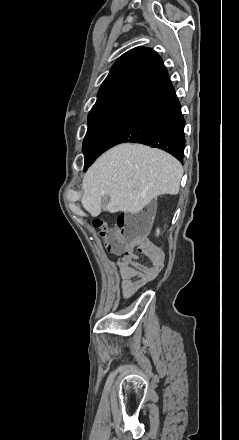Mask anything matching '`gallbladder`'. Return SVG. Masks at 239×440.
I'll return each instance as SVG.
<instances>
[{
	"instance_id": "1",
	"label": "gallbladder",
	"mask_w": 239,
	"mask_h": 440,
	"mask_svg": "<svg viewBox=\"0 0 239 440\" xmlns=\"http://www.w3.org/2000/svg\"><path fill=\"white\" fill-rule=\"evenodd\" d=\"M108 198H109V196H107V194H104V196H102V198H101V208H106V204L108 202Z\"/></svg>"
}]
</instances>
